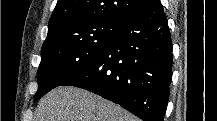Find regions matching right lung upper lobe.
I'll return each mask as SVG.
<instances>
[{
	"label": "right lung upper lobe",
	"mask_w": 217,
	"mask_h": 121,
	"mask_svg": "<svg viewBox=\"0 0 217 121\" xmlns=\"http://www.w3.org/2000/svg\"><path fill=\"white\" fill-rule=\"evenodd\" d=\"M152 0H58L48 24V44L72 28L102 20L124 22Z\"/></svg>",
	"instance_id": "cb5924a9"
}]
</instances>
